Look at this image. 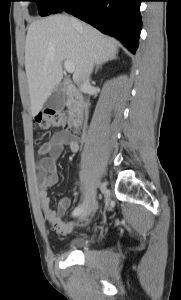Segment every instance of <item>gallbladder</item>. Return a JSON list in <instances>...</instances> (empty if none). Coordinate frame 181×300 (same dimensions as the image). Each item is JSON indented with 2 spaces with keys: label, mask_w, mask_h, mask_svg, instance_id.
I'll list each match as a JSON object with an SVG mask.
<instances>
[{
  "label": "gallbladder",
  "mask_w": 181,
  "mask_h": 300,
  "mask_svg": "<svg viewBox=\"0 0 181 300\" xmlns=\"http://www.w3.org/2000/svg\"><path fill=\"white\" fill-rule=\"evenodd\" d=\"M65 84L60 82L44 103V109L61 111L64 107Z\"/></svg>",
  "instance_id": "1"
}]
</instances>
